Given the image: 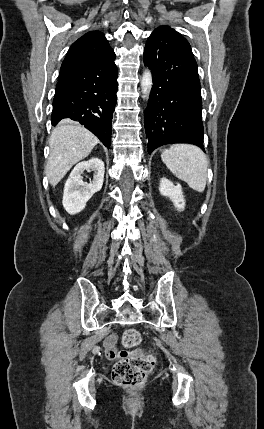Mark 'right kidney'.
Here are the masks:
<instances>
[{
  "label": "right kidney",
  "mask_w": 264,
  "mask_h": 429,
  "mask_svg": "<svg viewBox=\"0 0 264 429\" xmlns=\"http://www.w3.org/2000/svg\"><path fill=\"white\" fill-rule=\"evenodd\" d=\"M94 171L93 181L84 182V171ZM105 167L101 159L93 157L87 161L78 163L72 170L64 186L63 206L69 214L81 212L87 201L101 190L104 180Z\"/></svg>",
  "instance_id": "1"
}]
</instances>
